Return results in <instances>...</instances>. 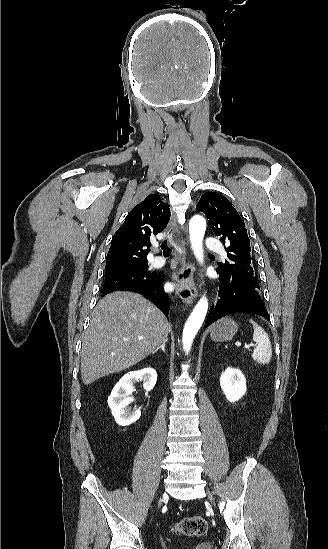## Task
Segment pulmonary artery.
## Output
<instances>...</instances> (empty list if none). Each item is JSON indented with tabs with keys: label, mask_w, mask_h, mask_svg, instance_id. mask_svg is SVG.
Wrapping results in <instances>:
<instances>
[{
	"label": "pulmonary artery",
	"mask_w": 328,
	"mask_h": 549,
	"mask_svg": "<svg viewBox=\"0 0 328 549\" xmlns=\"http://www.w3.org/2000/svg\"><path fill=\"white\" fill-rule=\"evenodd\" d=\"M207 249L209 252H218L220 249V244L218 241H209L207 244ZM164 265L163 258L159 256H151L149 258V266L151 268H159Z\"/></svg>",
	"instance_id": "e3ab8cb5"
}]
</instances>
